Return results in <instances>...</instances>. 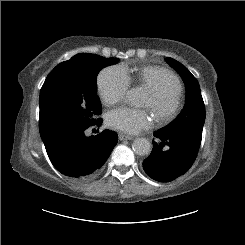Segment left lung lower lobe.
I'll list each match as a JSON object with an SVG mask.
<instances>
[{"mask_svg": "<svg viewBox=\"0 0 245 245\" xmlns=\"http://www.w3.org/2000/svg\"><path fill=\"white\" fill-rule=\"evenodd\" d=\"M151 154L143 161L146 174L160 182H170L184 175L193 165L199 145L189 139L154 133Z\"/></svg>", "mask_w": 245, "mask_h": 245, "instance_id": "1", "label": "left lung lower lobe"}]
</instances>
